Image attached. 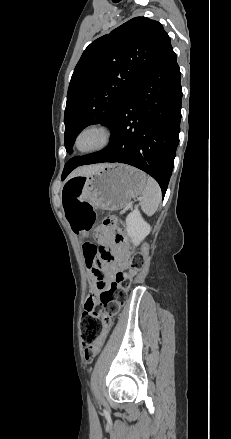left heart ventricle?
I'll return each mask as SVG.
<instances>
[{"mask_svg": "<svg viewBox=\"0 0 231 439\" xmlns=\"http://www.w3.org/2000/svg\"><path fill=\"white\" fill-rule=\"evenodd\" d=\"M97 138L94 135H86L82 139V145L85 147L92 146L96 143Z\"/></svg>", "mask_w": 231, "mask_h": 439, "instance_id": "b2bd125f", "label": "left heart ventricle"}]
</instances>
